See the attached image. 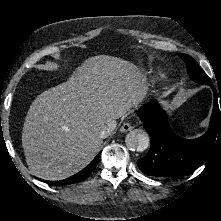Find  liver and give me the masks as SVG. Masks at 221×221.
Masks as SVG:
<instances>
[{
  "mask_svg": "<svg viewBox=\"0 0 221 221\" xmlns=\"http://www.w3.org/2000/svg\"><path fill=\"white\" fill-rule=\"evenodd\" d=\"M146 78L133 63L107 55L88 58L64 83L41 93L23 125L22 147L32 175L62 180L102 148L100 131L137 106Z\"/></svg>",
  "mask_w": 221,
  "mask_h": 221,
  "instance_id": "liver-1",
  "label": "liver"
}]
</instances>
